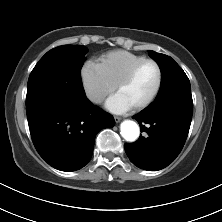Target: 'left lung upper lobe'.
<instances>
[{
  "mask_svg": "<svg viewBox=\"0 0 222 222\" xmlns=\"http://www.w3.org/2000/svg\"><path fill=\"white\" fill-rule=\"evenodd\" d=\"M158 63L161 73V87L156 99L171 93L191 94L190 81L182 68L169 56L149 50Z\"/></svg>",
  "mask_w": 222,
  "mask_h": 222,
  "instance_id": "1",
  "label": "left lung upper lobe"
}]
</instances>
